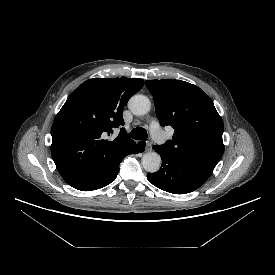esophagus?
Instances as JSON below:
<instances>
[{"mask_svg": "<svg viewBox=\"0 0 275 275\" xmlns=\"http://www.w3.org/2000/svg\"><path fill=\"white\" fill-rule=\"evenodd\" d=\"M145 150H146L147 152H150V151L152 150V145H151L150 142H146Z\"/></svg>", "mask_w": 275, "mask_h": 275, "instance_id": "1", "label": "esophagus"}]
</instances>
